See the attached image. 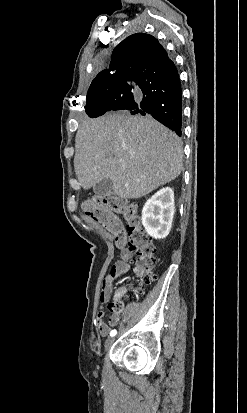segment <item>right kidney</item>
I'll use <instances>...</instances> for the list:
<instances>
[{
    "mask_svg": "<svg viewBox=\"0 0 247 413\" xmlns=\"http://www.w3.org/2000/svg\"><path fill=\"white\" fill-rule=\"evenodd\" d=\"M174 192L170 186L160 188L146 200L142 211V225L154 239H165L172 227Z\"/></svg>",
    "mask_w": 247,
    "mask_h": 413,
    "instance_id": "right-kidney-1",
    "label": "right kidney"
}]
</instances>
